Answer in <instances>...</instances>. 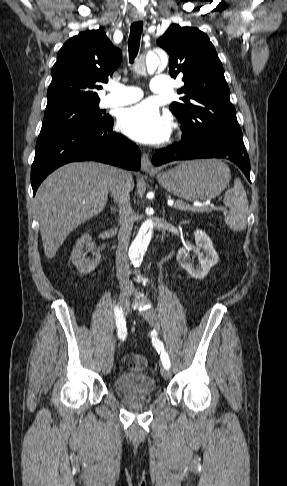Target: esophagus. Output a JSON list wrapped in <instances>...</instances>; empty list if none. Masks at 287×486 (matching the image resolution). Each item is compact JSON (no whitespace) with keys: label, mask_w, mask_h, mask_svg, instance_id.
Instances as JSON below:
<instances>
[{"label":"esophagus","mask_w":287,"mask_h":486,"mask_svg":"<svg viewBox=\"0 0 287 486\" xmlns=\"http://www.w3.org/2000/svg\"><path fill=\"white\" fill-rule=\"evenodd\" d=\"M142 17L136 16L134 17V21L138 22L141 21ZM141 169L145 172H153L155 171L148 153L143 152L141 157Z\"/></svg>","instance_id":"esophagus-1"}]
</instances>
